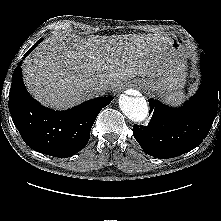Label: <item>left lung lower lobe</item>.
<instances>
[{"mask_svg":"<svg viewBox=\"0 0 221 221\" xmlns=\"http://www.w3.org/2000/svg\"><path fill=\"white\" fill-rule=\"evenodd\" d=\"M201 85L194 96L179 108H170L149 99L152 118L148 126H133V135L149 155L168 159L197 147L207 136L218 104H221V74L200 55Z\"/></svg>","mask_w":221,"mask_h":221,"instance_id":"0a47b994","label":"left lung lower lobe"}]
</instances>
